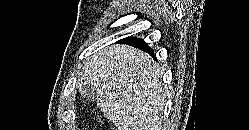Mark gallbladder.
I'll return each mask as SVG.
<instances>
[{"label": "gallbladder", "mask_w": 249, "mask_h": 130, "mask_svg": "<svg viewBox=\"0 0 249 130\" xmlns=\"http://www.w3.org/2000/svg\"><path fill=\"white\" fill-rule=\"evenodd\" d=\"M81 95L89 102L95 100L96 94L93 86L86 84L81 88Z\"/></svg>", "instance_id": "1"}]
</instances>
